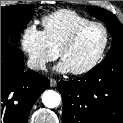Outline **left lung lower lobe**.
I'll use <instances>...</instances> for the list:
<instances>
[{
    "label": "left lung lower lobe",
    "mask_w": 123,
    "mask_h": 123,
    "mask_svg": "<svg viewBox=\"0 0 123 123\" xmlns=\"http://www.w3.org/2000/svg\"><path fill=\"white\" fill-rule=\"evenodd\" d=\"M63 123H123V53L75 81H60Z\"/></svg>",
    "instance_id": "obj_1"
}]
</instances>
